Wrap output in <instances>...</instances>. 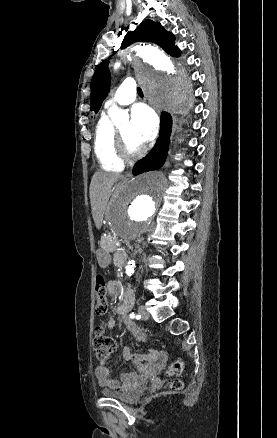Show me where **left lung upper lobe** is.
<instances>
[{
    "label": "left lung upper lobe",
    "mask_w": 277,
    "mask_h": 438,
    "mask_svg": "<svg viewBox=\"0 0 277 438\" xmlns=\"http://www.w3.org/2000/svg\"><path fill=\"white\" fill-rule=\"evenodd\" d=\"M174 36L167 32L160 23L152 20L143 21L136 30L128 32L122 42L121 48H126L130 44L139 41L153 42L159 45L171 56H180V50L174 45ZM108 60L101 62L91 80L90 105L91 111L97 113L110 86V72L108 70Z\"/></svg>",
    "instance_id": "1"
}]
</instances>
